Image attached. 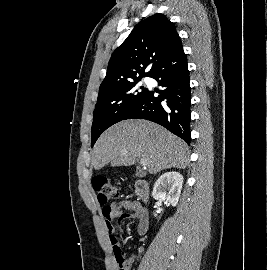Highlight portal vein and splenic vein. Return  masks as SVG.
I'll return each instance as SVG.
<instances>
[{
  "label": "portal vein and splenic vein",
  "mask_w": 267,
  "mask_h": 270,
  "mask_svg": "<svg viewBox=\"0 0 267 270\" xmlns=\"http://www.w3.org/2000/svg\"><path fill=\"white\" fill-rule=\"evenodd\" d=\"M140 164L142 165V166H144L145 167V161L144 160H140Z\"/></svg>",
  "instance_id": "portal-vein-and-splenic-vein-1"
}]
</instances>
